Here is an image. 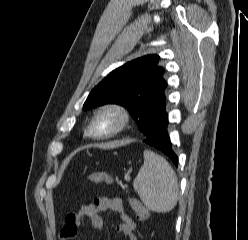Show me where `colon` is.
<instances>
[{"instance_id":"5ec220e1","label":"colon","mask_w":248,"mask_h":240,"mask_svg":"<svg viewBox=\"0 0 248 240\" xmlns=\"http://www.w3.org/2000/svg\"><path fill=\"white\" fill-rule=\"evenodd\" d=\"M89 181L92 183L111 184L113 183V177L106 172H95L89 176ZM129 204L139 220L143 221L147 219L148 211L140 201L130 197Z\"/></svg>"}]
</instances>
